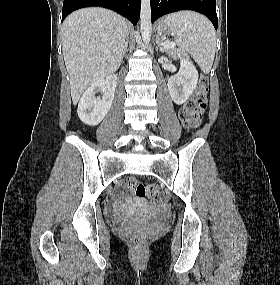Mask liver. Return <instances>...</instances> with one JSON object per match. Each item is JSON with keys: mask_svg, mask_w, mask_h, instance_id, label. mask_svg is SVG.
<instances>
[{"mask_svg": "<svg viewBox=\"0 0 280 285\" xmlns=\"http://www.w3.org/2000/svg\"><path fill=\"white\" fill-rule=\"evenodd\" d=\"M128 25L117 13L84 8L63 23V55L74 104L93 83L113 74L122 61Z\"/></svg>", "mask_w": 280, "mask_h": 285, "instance_id": "6515ba94", "label": "liver"}]
</instances>
